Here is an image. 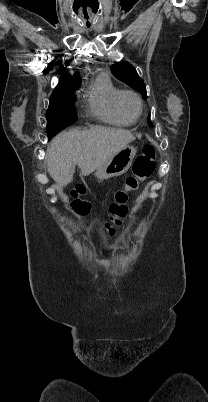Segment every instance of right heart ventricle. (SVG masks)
<instances>
[{"label":"right heart ventricle","instance_id":"right-heart-ventricle-1","mask_svg":"<svg viewBox=\"0 0 208 402\" xmlns=\"http://www.w3.org/2000/svg\"><path fill=\"white\" fill-rule=\"evenodd\" d=\"M119 90L112 84L109 76L100 74L87 91V102L94 117L103 124L126 128L134 122L124 119L116 110L115 99Z\"/></svg>","mask_w":208,"mask_h":402}]
</instances>
